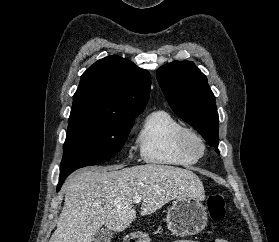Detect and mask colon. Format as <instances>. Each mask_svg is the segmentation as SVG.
<instances>
[{
  "label": "colon",
  "mask_w": 279,
  "mask_h": 242,
  "mask_svg": "<svg viewBox=\"0 0 279 242\" xmlns=\"http://www.w3.org/2000/svg\"><path fill=\"white\" fill-rule=\"evenodd\" d=\"M207 207L210 218L213 221H221L225 216V200L222 194L210 195L207 199Z\"/></svg>",
  "instance_id": "1"
}]
</instances>
